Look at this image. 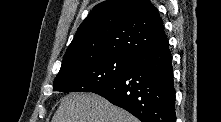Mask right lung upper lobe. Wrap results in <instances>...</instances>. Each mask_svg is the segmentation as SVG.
Here are the masks:
<instances>
[{
  "instance_id": "1",
  "label": "right lung upper lobe",
  "mask_w": 221,
  "mask_h": 122,
  "mask_svg": "<svg viewBox=\"0 0 221 122\" xmlns=\"http://www.w3.org/2000/svg\"><path fill=\"white\" fill-rule=\"evenodd\" d=\"M165 34L162 19L149 0H106L79 26L66 50L60 72L93 58H134Z\"/></svg>"
}]
</instances>
